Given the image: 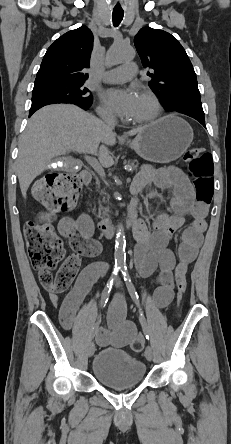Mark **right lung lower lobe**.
I'll return each instance as SVG.
<instances>
[{
	"label": "right lung lower lobe",
	"mask_w": 231,
	"mask_h": 444,
	"mask_svg": "<svg viewBox=\"0 0 231 444\" xmlns=\"http://www.w3.org/2000/svg\"><path fill=\"white\" fill-rule=\"evenodd\" d=\"M45 105H48V104H43V105H38V106H31V109H30V112H29V117L36 111V110H38L39 108H41V107H43V106H45ZM78 106H80L81 108H83L84 110H87L90 106H81V105H78Z\"/></svg>",
	"instance_id": "98d812e1"
}]
</instances>
